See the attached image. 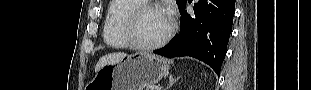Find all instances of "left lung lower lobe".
Returning a JSON list of instances; mask_svg holds the SVG:
<instances>
[{
	"mask_svg": "<svg viewBox=\"0 0 311 90\" xmlns=\"http://www.w3.org/2000/svg\"><path fill=\"white\" fill-rule=\"evenodd\" d=\"M185 4L179 9L180 33L154 53L168 58L195 57L219 75L232 31L235 0H199L194 5L193 16L187 13Z\"/></svg>",
	"mask_w": 311,
	"mask_h": 90,
	"instance_id": "obj_1",
	"label": "left lung lower lobe"
}]
</instances>
